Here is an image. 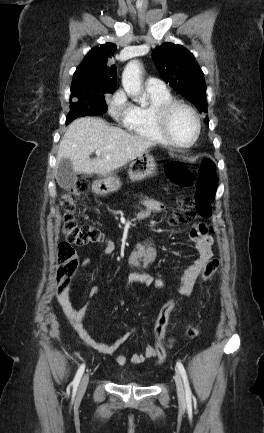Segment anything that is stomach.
Instances as JSON below:
<instances>
[{
    "mask_svg": "<svg viewBox=\"0 0 264 433\" xmlns=\"http://www.w3.org/2000/svg\"><path fill=\"white\" fill-rule=\"evenodd\" d=\"M156 169L157 164L154 157L146 153L131 162L128 174L133 182H138L154 176ZM92 188L96 194L106 195L118 191L121 188V182L118 177L108 176L95 181Z\"/></svg>",
    "mask_w": 264,
    "mask_h": 433,
    "instance_id": "stomach-1",
    "label": "stomach"
}]
</instances>
